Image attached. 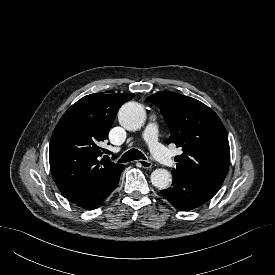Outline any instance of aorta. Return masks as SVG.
I'll use <instances>...</instances> for the list:
<instances>
[{
    "label": "aorta",
    "instance_id": "aorta-1",
    "mask_svg": "<svg viewBox=\"0 0 275 275\" xmlns=\"http://www.w3.org/2000/svg\"><path fill=\"white\" fill-rule=\"evenodd\" d=\"M119 123L129 131L139 130L145 123L146 113L143 106L137 102L125 103L118 112ZM153 186L167 189L171 182V174L165 169H155L151 173Z\"/></svg>",
    "mask_w": 275,
    "mask_h": 275
}]
</instances>
